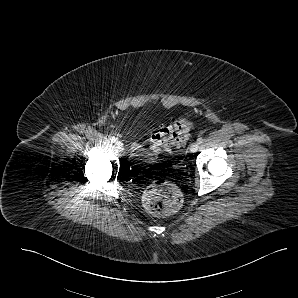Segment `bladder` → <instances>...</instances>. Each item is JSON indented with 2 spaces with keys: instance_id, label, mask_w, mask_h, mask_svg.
<instances>
[{
  "instance_id": "obj_1",
  "label": "bladder",
  "mask_w": 298,
  "mask_h": 298,
  "mask_svg": "<svg viewBox=\"0 0 298 298\" xmlns=\"http://www.w3.org/2000/svg\"><path fill=\"white\" fill-rule=\"evenodd\" d=\"M131 156L139 160H147L150 157L146 144L143 141L135 139L131 143L130 147Z\"/></svg>"
}]
</instances>
